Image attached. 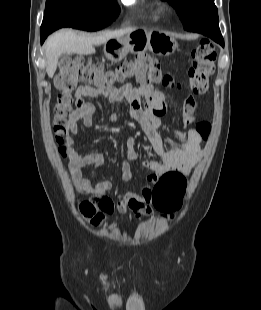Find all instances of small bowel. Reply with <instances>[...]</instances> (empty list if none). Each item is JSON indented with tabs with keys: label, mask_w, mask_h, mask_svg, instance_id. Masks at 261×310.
I'll use <instances>...</instances> for the list:
<instances>
[{
	"label": "small bowel",
	"mask_w": 261,
	"mask_h": 310,
	"mask_svg": "<svg viewBox=\"0 0 261 310\" xmlns=\"http://www.w3.org/2000/svg\"><path fill=\"white\" fill-rule=\"evenodd\" d=\"M100 97L111 103L119 104L123 100L130 103V113L136 120L148 138L153 151L160 157V161L145 159L142 166L150 171L148 185L140 192H126L119 196L117 210L120 213L131 211L136 218L152 214L156 207L152 203V186L156 185L159 179L169 171H178L184 175H189L193 167L202 155L201 144L205 139L196 129L188 131H176L175 135L180 141L179 144L170 148L164 146L160 134L159 117L166 112L162 93L154 91L149 84H140L134 87L126 84L120 88L103 87L94 88L91 86H79L75 93L76 109L69 117L66 128L70 134L75 135L82 123L90 126L93 122L94 107L85 103L86 98ZM146 103L143 104V100ZM197 107V100L190 95L185 100V112L183 125L189 128L194 123V113ZM66 146L69 154L68 170L72 178L74 187L82 194L103 195L112 188L109 180H101L95 184L90 179L83 176V169L87 166L98 168L105 162V157L101 153H89L82 155L78 152L75 141L71 136L66 137ZM126 158L133 161L138 159L135 149L134 138L126 140ZM132 169L128 161L122 163V179L131 180Z\"/></svg>",
	"instance_id": "small-bowel-1"
}]
</instances>
